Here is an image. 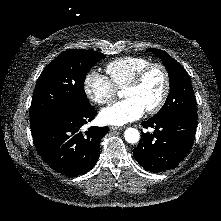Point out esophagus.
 Returning a JSON list of instances; mask_svg holds the SVG:
<instances>
[{
	"instance_id": "esophagus-1",
	"label": "esophagus",
	"mask_w": 221,
	"mask_h": 221,
	"mask_svg": "<svg viewBox=\"0 0 221 221\" xmlns=\"http://www.w3.org/2000/svg\"><path fill=\"white\" fill-rule=\"evenodd\" d=\"M110 129L111 130H123L124 127H122V126H110Z\"/></svg>"
}]
</instances>
